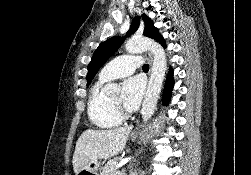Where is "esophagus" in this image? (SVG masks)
<instances>
[{"label":"esophagus","mask_w":251,"mask_h":175,"mask_svg":"<svg viewBox=\"0 0 251 175\" xmlns=\"http://www.w3.org/2000/svg\"><path fill=\"white\" fill-rule=\"evenodd\" d=\"M145 57L148 60V63L150 65V71H151L152 64H153V56H152V54L150 52H146Z\"/></svg>","instance_id":"34e87169"}]
</instances>
